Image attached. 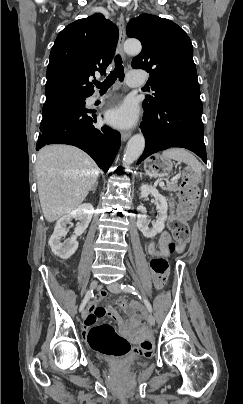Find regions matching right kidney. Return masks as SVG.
I'll return each instance as SVG.
<instances>
[{
    "label": "right kidney",
    "instance_id": "ca27d5eb",
    "mask_svg": "<svg viewBox=\"0 0 243 404\" xmlns=\"http://www.w3.org/2000/svg\"><path fill=\"white\" fill-rule=\"evenodd\" d=\"M92 216L93 208L91 204H82V206H78L76 210H73V212H70V214L58 220L48 242L54 256H58V258H62V260H68L70 256L75 254L78 248V242H76L77 236H81V234L87 230ZM72 218L79 220L74 236H71L70 240H66V242H61V238L65 236L66 226L67 224H71Z\"/></svg>",
    "mask_w": 243,
    "mask_h": 404
}]
</instances>
